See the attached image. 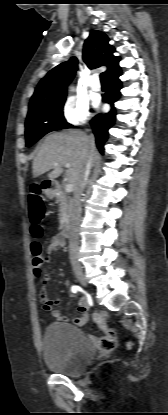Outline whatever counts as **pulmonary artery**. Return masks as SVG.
<instances>
[{
	"label": "pulmonary artery",
	"instance_id": "pulmonary-artery-1",
	"mask_svg": "<svg viewBox=\"0 0 168 415\" xmlns=\"http://www.w3.org/2000/svg\"><path fill=\"white\" fill-rule=\"evenodd\" d=\"M90 87L93 91H100L101 90V83H100L99 78H98L97 75H94L92 77Z\"/></svg>",
	"mask_w": 168,
	"mask_h": 415
}]
</instances>
